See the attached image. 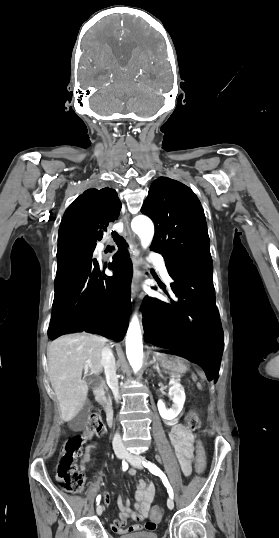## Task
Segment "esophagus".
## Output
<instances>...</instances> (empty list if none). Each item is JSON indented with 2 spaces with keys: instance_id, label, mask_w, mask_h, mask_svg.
Masks as SVG:
<instances>
[{
  "instance_id": "obj_1",
  "label": "esophagus",
  "mask_w": 279,
  "mask_h": 538,
  "mask_svg": "<svg viewBox=\"0 0 279 538\" xmlns=\"http://www.w3.org/2000/svg\"><path fill=\"white\" fill-rule=\"evenodd\" d=\"M122 221H123V224H124V229H123L122 236H123V238H125L127 244L129 245V252H130L131 260H132V263H133V273H134V275H133V279H132V295L135 296L136 292H137V288H138V281H139V275H140V272H139V266H140V263H141L140 253H139V250L137 248V244L135 242L134 235L132 234V231L130 229L129 221H128L127 216H124L122 218Z\"/></svg>"
}]
</instances>
